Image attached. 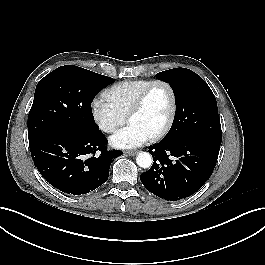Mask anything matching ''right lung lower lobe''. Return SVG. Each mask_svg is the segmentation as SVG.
Listing matches in <instances>:
<instances>
[{
    "label": "right lung lower lobe",
    "instance_id": "right-lung-lower-lobe-1",
    "mask_svg": "<svg viewBox=\"0 0 265 265\" xmlns=\"http://www.w3.org/2000/svg\"><path fill=\"white\" fill-rule=\"evenodd\" d=\"M101 131L63 132L29 140L33 161L55 188L73 195L93 191L109 176L111 162L122 155L106 151ZM96 152L101 154L95 155Z\"/></svg>",
    "mask_w": 265,
    "mask_h": 265
}]
</instances>
